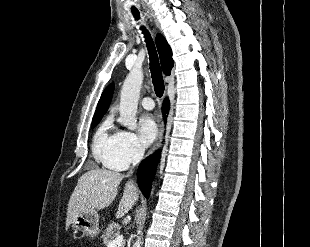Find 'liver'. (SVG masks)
<instances>
[{
	"label": "liver",
	"instance_id": "obj_1",
	"mask_svg": "<svg viewBox=\"0 0 310 247\" xmlns=\"http://www.w3.org/2000/svg\"><path fill=\"white\" fill-rule=\"evenodd\" d=\"M123 179L118 172L106 169H92L85 172L70 197L67 209L66 226L79 214L102 210L115 199L117 187ZM138 200V190L132 181L126 183L119 202L116 218H122Z\"/></svg>",
	"mask_w": 310,
	"mask_h": 247
}]
</instances>
